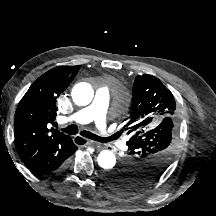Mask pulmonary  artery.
Segmentation results:
<instances>
[{
  "label": "pulmonary artery",
  "instance_id": "e3ab8cb5",
  "mask_svg": "<svg viewBox=\"0 0 216 216\" xmlns=\"http://www.w3.org/2000/svg\"><path fill=\"white\" fill-rule=\"evenodd\" d=\"M110 91L107 87H101L97 89L93 102L75 112L67 118L69 122H77L80 124H86L91 121H95L98 127L102 130L105 137L109 134L104 131L108 125L107 108L109 104Z\"/></svg>",
  "mask_w": 216,
  "mask_h": 216
}]
</instances>
